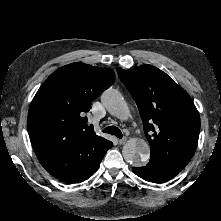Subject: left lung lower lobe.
I'll use <instances>...</instances> for the list:
<instances>
[{
    "mask_svg": "<svg viewBox=\"0 0 221 221\" xmlns=\"http://www.w3.org/2000/svg\"><path fill=\"white\" fill-rule=\"evenodd\" d=\"M132 170L142 179L153 183L167 182L181 171L153 159H150L149 163L146 166L136 167Z\"/></svg>",
    "mask_w": 221,
    "mask_h": 221,
    "instance_id": "0a47b994",
    "label": "left lung lower lobe"
}]
</instances>
